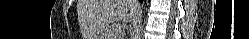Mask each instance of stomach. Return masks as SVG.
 Returning <instances> with one entry per match:
<instances>
[{"label": "stomach", "instance_id": "1", "mask_svg": "<svg viewBox=\"0 0 249 39\" xmlns=\"http://www.w3.org/2000/svg\"><path fill=\"white\" fill-rule=\"evenodd\" d=\"M96 37H99V38H100V37H103V35H102V34H99V35H98V36H96Z\"/></svg>", "mask_w": 249, "mask_h": 39}]
</instances>
